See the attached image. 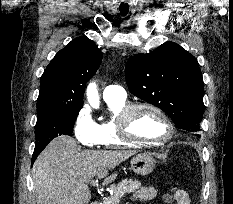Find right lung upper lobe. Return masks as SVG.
<instances>
[{
    "mask_svg": "<svg viewBox=\"0 0 233 204\" xmlns=\"http://www.w3.org/2000/svg\"><path fill=\"white\" fill-rule=\"evenodd\" d=\"M101 60L102 52L87 37L76 38L60 50L41 76L37 115L81 109L86 82Z\"/></svg>",
    "mask_w": 233,
    "mask_h": 204,
    "instance_id": "obj_1",
    "label": "right lung upper lobe"
}]
</instances>
